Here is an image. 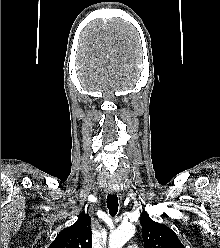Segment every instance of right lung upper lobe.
Returning <instances> with one entry per match:
<instances>
[{
	"label": "right lung upper lobe",
	"instance_id": "1",
	"mask_svg": "<svg viewBox=\"0 0 220 248\" xmlns=\"http://www.w3.org/2000/svg\"><path fill=\"white\" fill-rule=\"evenodd\" d=\"M91 218L82 214L72 226L63 229L48 248H92Z\"/></svg>",
	"mask_w": 220,
	"mask_h": 248
}]
</instances>
